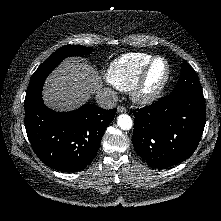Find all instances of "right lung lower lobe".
Returning a JSON list of instances; mask_svg holds the SVG:
<instances>
[{
  "mask_svg": "<svg viewBox=\"0 0 221 221\" xmlns=\"http://www.w3.org/2000/svg\"><path fill=\"white\" fill-rule=\"evenodd\" d=\"M43 84L25 97L28 139L38 158L50 168L80 171L96 156L116 109L87 105L70 112H55L43 103Z\"/></svg>",
  "mask_w": 221,
  "mask_h": 221,
  "instance_id": "1",
  "label": "right lung lower lobe"
}]
</instances>
